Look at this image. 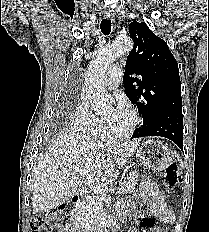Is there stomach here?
I'll return each instance as SVG.
<instances>
[{"label": "stomach", "mask_w": 209, "mask_h": 232, "mask_svg": "<svg viewBox=\"0 0 209 232\" xmlns=\"http://www.w3.org/2000/svg\"><path fill=\"white\" fill-rule=\"evenodd\" d=\"M137 155L144 166L151 171L166 169L170 161V152L166 145L157 140H146L137 150Z\"/></svg>", "instance_id": "obj_1"}]
</instances>
